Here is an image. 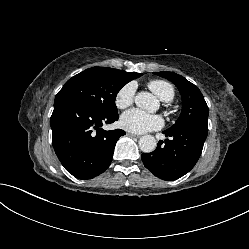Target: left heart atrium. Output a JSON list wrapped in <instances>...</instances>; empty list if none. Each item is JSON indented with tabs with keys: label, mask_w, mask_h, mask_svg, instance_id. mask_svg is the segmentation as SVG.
<instances>
[{
	"label": "left heart atrium",
	"mask_w": 249,
	"mask_h": 249,
	"mask_svg": "<svg viewBox=\"0 0 249 249\" xmlns=\"http://www.w3.org/2000/svg\"><path fill=\"white\" fill-rule=\"evenodd\" d=\"M120 124L127 131L144 133L161 128L163 119L159 115L149 114L135 108L125 112L121 116Z\"/></svg>",
	"instance_id": "39dd6f15"
}]
</instances>
